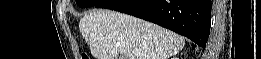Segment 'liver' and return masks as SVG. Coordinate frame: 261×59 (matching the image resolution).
<instances>
[{
	"instance_id": "6515ba94",
	"label": "liver",
	"mask_w": 261,
	"mask_h": 59,
	"mask_svg": "<svg viewBox=\"0 0 261 59\" xmlns=\"http://www.w3.org/2000/svg\"><path fill=\"white\" fill-rule=\"evenodd\" d=\"M79 29L95 59H169L185 46L184 38L170 30L111 10L89 12Z\"/></svg>"
}]
</instances>
